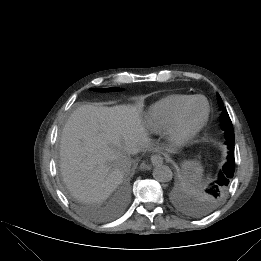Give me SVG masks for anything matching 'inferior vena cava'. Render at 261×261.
<instances>
[{
    "label": "inferior vena cava",
    "instance_id": "inferior-vena-cava-1",
    "mask_svg": "<svg viewBox=\"0 0 261 261\" xmlns=\"http://www.w3.org/2000/svg\"><path fill=\"white\" fill-rule=\"evenodd\" d=\"M119 165L124 172H128L132 165V159L130 156H124L119 160Z\"/></svg>",
    "mask_w": 261,
    "mask_h": 261
}]
</instances>
